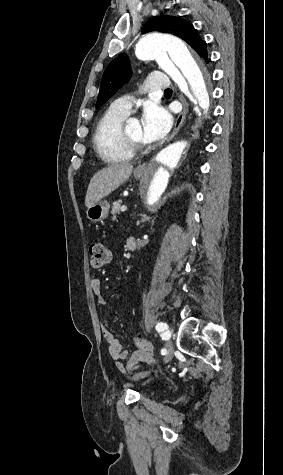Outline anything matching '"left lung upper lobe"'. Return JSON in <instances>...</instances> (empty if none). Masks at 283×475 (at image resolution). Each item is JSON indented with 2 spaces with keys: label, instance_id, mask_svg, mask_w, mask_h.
Wrapping results in <instances>:
<instances>
[{
  "label": "left lung upper lobe",
  "instance_id": "5c2ea615",
  "mask_svg": "<svg viewBox=\"0 0 283 475\" xmlns=\"http://www.w3.org/2000/svg\"><path fill=\"white\" fill-rule=\"evenodd\" d=\"M151 31L176 35L185 40L201 57L205 58L207 53L206 42L202 41L193 25L185 19L176 16H161L150 19L144 25L142 34ZM130 76L129 59L126 54H121L104 71L96 108L103 105L117 91V88L128 82Z\"/></svg>",
  "mask_w": 283,
  "mask_h": 475
}]
</instances>
